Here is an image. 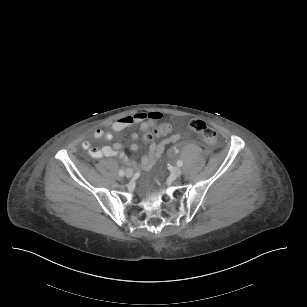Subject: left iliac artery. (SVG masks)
Segmentation results:
<instances>
[{
    "label": "left iliac artery",
    "instance_id": "obj_1",
    "mask_svg": "<svg viewBox=\"0 0 307 307\" xmlns=\"http://www.w3.org/2000/svg\"><path fill=\"white\" fill-rule=\"evenodd\" d=\"M177 165L178 166H182L183 165V162L181 160L177 161Z\"/></svg>",
    "mask_w": 307,
    "mask_h": 307
}]
</instances>
